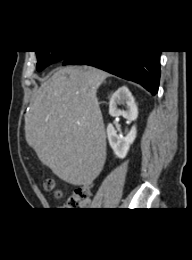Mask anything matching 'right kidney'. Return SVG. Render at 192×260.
<instances>
[{"instance_id": "1", "label": "right kidney", "mask_w": 192, "mask_h": 260, "mask_svg": "<svg viewBox=\"0 0 192 260\" xmlns=\"http://www.w3.org/2000/svg\"><path fill=\"white\" fill-rule=\"evenodd\" d=\"M125 105L126 110H120L118 105ZM109 114L113 117L123 116L128 121H135L138 117V109L134 97L129 89L125 86L120 87L111 97L109 103ZM107 136L109 144L115 155L123 159L126 157L130 145L136 138V127L133 126L126 137L117 134L114 126L108 124Z\"/></svg>"}]
</instances>
